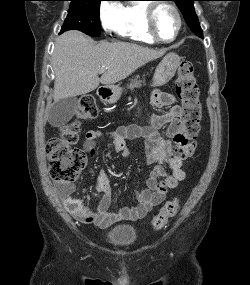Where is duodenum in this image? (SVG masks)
Segmentation results:
<instances>
[{
	"mask_svg": "<svg viewBox=\"0 0 250 285\" xmlns=\"http://www.w3.org/2000/svg\"><path fill=\"white\" fill-rule=\"evenodd\" d=\"M99 94L104 100L110 99L112 93L108 88H100L99 89Z\"/></svg>",
	"mask_w": 250,
	"mask_h": 285,
	"instance_id": "obj_1",
	"label": "duodenum"
}]
</instances>
